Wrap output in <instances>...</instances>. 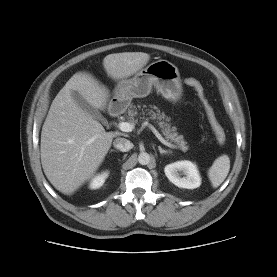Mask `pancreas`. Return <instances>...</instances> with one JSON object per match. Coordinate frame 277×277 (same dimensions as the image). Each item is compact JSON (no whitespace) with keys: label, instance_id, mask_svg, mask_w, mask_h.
I'll return each instance as SVG.
<instances>
[{"label":"pancreas","instance_id":"pancreas-1","mask_svg":"<svg viewBox=\"0 0 277 277\" xmlns=\"http://www.w3.org/2000/svg\"><path fill=\"white\" fill-rule=\"evenodd\" d=\"M152 108L155 111L153 109H145V111L142 110L141 114L143 117H140V119H144V115H149L150 119L157 120L158 125L161 128V132L166 140L171 143H175L177 147L181 148L183 151H186L188 149V146L186 145L187 142L184 141L183 135H178L176 132V127H171V125L168 123L170 118H168L164 112H160L156 106H153ZM127 113V117L130 121L135 123L138 122V118H135L138 115L136 106L131 105Z\"/></svg>","mask_w":277,"mask_h":277}]
</instances>
